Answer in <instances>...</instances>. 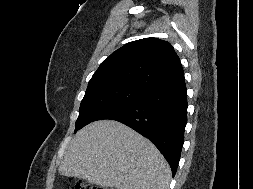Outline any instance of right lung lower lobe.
Instances as JSON below:
<instances>
[{
	"instance_id": "98d812e1",
	"label": "right lung lower lobe",
	"mask_w": 253,
	"mask_h": 189,
	"mask_svg": "<svg viewBox=\"0 0 253 189\" xmlns=\"http://www.w3.org/2000/svg\"><path fill=\"white\" fill-rule=\"evenodd\" d=\"M185 81L153 88L135 103L102 119L119 121L146 136L163 154L173 176L180 160L187 123Z\"/></svg>"
}]
</instances>
